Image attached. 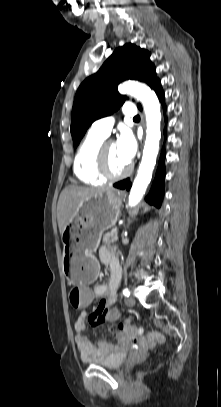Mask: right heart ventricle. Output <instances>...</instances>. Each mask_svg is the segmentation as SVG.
<instances>
[{
	"label": "right heart ventricle",
	"instance_id": "obj_1",
	"mask_svg": "<svg viewBox=\"0 0 221 407\" xmlns=\"http://www.w3.org/2000/svg\"><path fill=\"white\" fill-rule=\"evenodd\" d=\"M105 136L89 131L80 144L74 159V172L86 185L99 186L106 180L97 171V154Z\"/></svg>",
	"mask_w": 221,
	"mask_h": 407
}]
</instances>
